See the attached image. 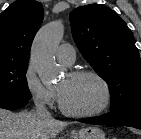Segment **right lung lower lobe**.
Instances as JSON below:
<instances>
[{
	"instance_id": "right-lung-lower-lobe-1",
	"label": "right lung lower lobe",
	"mask_w": 141,
	"mask_h": 139,
	"mask_svg": "<svg viewBox=\"0 0 141 139\" xmlns=\"http://www.w3.org/2000/svg\"><path fill=\"white\" fill-rule=\"evenodd\" d=\"M29 100H0V108L14 110L24 107Z\"/></svg>"
}]
</instances>
